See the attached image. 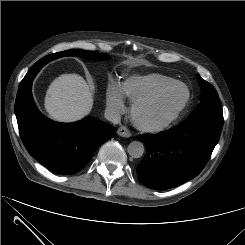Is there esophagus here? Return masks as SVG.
<instances>
[{
	"instance_id": "34e87169",
	"label": "esophagus",
	"mask_w": 245,
	"mask_h": 245,
	"mask_svg": "<svg viewBox=\"0 0 245 245\" xmlns=\"http://www.w3.org/2000/svg\"><path fill=\"white\" fill-rule=\"evenodd\" d=\"M117 134L125 138H128L132 135L131 132L126 127L123 126L118 128Z\"/></svg>"
}]
</instances>
